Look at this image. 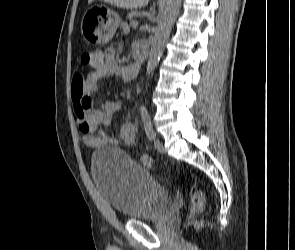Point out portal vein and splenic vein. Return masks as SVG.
Returning <instances> with one entry per match:
<instances>
[{
	"mask_svg": "<svg viewBox=\"0 0 295 250\" xmlns=\"http://www.w3.org/2000/svg\"><path fill=\"white\" fill-rule=\"evenodd\" d=\"M138 24H139L138 21H134V22H132V26H133V27H137Z\"/></svg>",
	"mask_w": 295,
	"mask_h": 250,
	"instance_id": "1",
	"label": "portal vein and splenic vein"
}]
</instances>
